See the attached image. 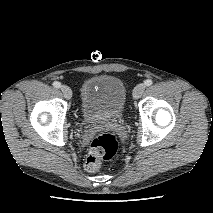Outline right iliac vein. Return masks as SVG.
<instances>
[{
    "mask_svg": "<svg viewBox=\"0 0 213 213\" xmlns=\"http://www.w3.org/2000/svg\"><path fill=\"white\" fill-rule=\"evenodd\" d=\"M61 91L66 99H68V100L71 99L72 90L70 89V87L63 85V86H61Z\"/></svg>",
    "mask_w": 213,
    "mask_h": 213,
    "instance_id": "1",
    "label": "right iliac vein"
}]
</instances>
